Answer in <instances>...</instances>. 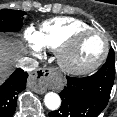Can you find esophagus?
I'll list each match as a JSON object with an SVG mask.
<instances>
[{
  "mask_svg": "<svg viewBox=\"0 0 117 117\" xmlns=\"http://www.w3.org/2000/svg\"><path fill=\"white\" fill-rule=\"evenodd\" d=\"M53 74L51 68L37 69L29 77V87L39 94L45 93L47 88L51 86Z\"/></svg>",
  "mask_w": 117,
  "mask_h": 117,
  "instance_id": "esophagus-1",
  "label": "esophagus"
}]
</instances>
